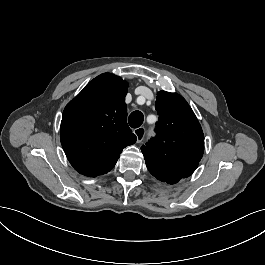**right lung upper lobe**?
Here are the masks:
<instances>
[{
  "instance_id": "cb5924a9",
  "label": "right lung upper lobe",
  "mask_w": 265,
  "mask_h": 265,
  "mask_svg": "<svg viewBox=\"0 0 265 265\" xmlns=\"http://www.w3.org/2000/svg\"><path fill=\"white\" fill-rule=\"evenodd\" d=\"M128 84L104 73L70 101L62 115L60 139L75 170L88 177L108 173L122 150L136 142L127 124Z\"/></svg>"
}]
</instances>
